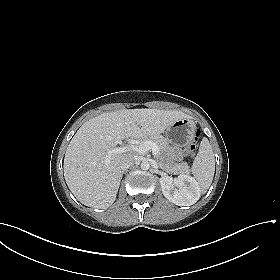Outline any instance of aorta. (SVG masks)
I'll use <instances>...</instances> for the list:
<instances>
[{
  "instance_id": "obj_1",
  "label": "aorta",
  "mask_w": 280,
  "mask_h": 280,
  "mask_svg": "<svg viewBox=\"0 0 280 280\" xmlns=\"http://www.w3.org/2000/svg\"><path fill=\"white\" fill-rule=\"evenodd\" d=\"M149 167H150V164H149L148 162L143 161V162L141 163V169H142V170H148Z\"/></svg>"
}]
</instances>
